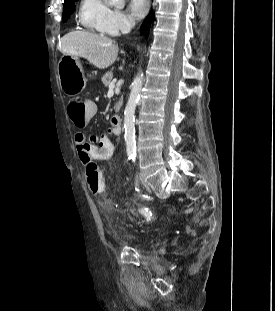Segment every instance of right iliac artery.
<instances>
[{
  "instance_id": "right-iliac-artery-1",
  "label": "right iliac artery",
  "mask_w": 275,
  "mask_h": 311,
  "mask_svg": "<svg viewBox=\"0 0 275 311\" xmlns=\"http://www.w3.org/2000/svg\"><path fill=\"white\" fill-rule=\"evenodd\" d=\"M132 158V154H129V159H131Z\"/></svg>"
}]
</instances>
